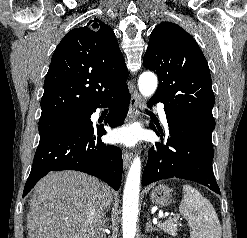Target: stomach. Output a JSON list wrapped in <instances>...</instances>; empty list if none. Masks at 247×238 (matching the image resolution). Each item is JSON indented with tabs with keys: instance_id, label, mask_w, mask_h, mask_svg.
<instances>
[{
	"instance_id": "1",
	"label": "stomach",
	"mask_w": 247,
	"mask_h": 238,
	"mask_svg": "<svg viewBox=\"0 0 247 238\" xmlns=\"http://www.w3.org/2000/svg\"><path fill=\"white\" fill-rule=\"evenodd\" d=\"M172 190L164 184L153 187L150 199L154 205L159 207L168 206L172 202Z\"/></svg>"
}]
</instances>
